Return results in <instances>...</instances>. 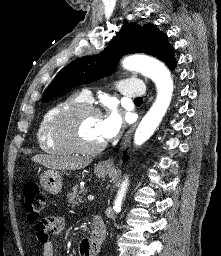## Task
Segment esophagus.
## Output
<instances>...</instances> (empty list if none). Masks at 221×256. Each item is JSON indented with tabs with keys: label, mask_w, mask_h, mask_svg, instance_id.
Returning <instances> with one entry per match:
<instances>
[{
	"label": "esophagus",
	"mask_w": 221,
	"mask_h": 256,
	"mask_svg": "<svg viewBox=\"0 0 221 256\" xmlns=\"http://www.w3.org/2000/svg\"><path fill=\"white\" fill-rule=\"evenodd\" d=\"M136 125L137 124H134L133 126H131V128L126 132V134L123 138V141L121 143V150H123L126 147L127 143L129 142V140L132 136V133H133ZM114 161H115V158L108 159L106 161L101 162L100 166L106 167V168H114V166H115Z\"/></svg>",
	"instance_id": "obj_1"
}]
</instances>
